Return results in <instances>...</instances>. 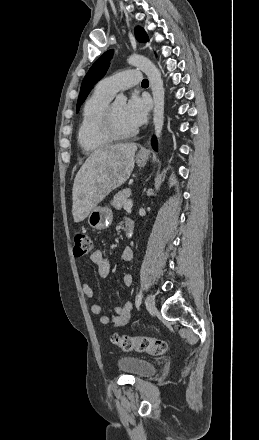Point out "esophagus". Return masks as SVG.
Returning a JSON list of instances; mask_svg holds the SVG:
<instances>
[{
  "mask_svg": "<svg viewBox=\"0 0 259 440\" xmlns=\"http://www.w3.org/2000/svg\"><path fill=\"white\" fill-rule=\"evenodd\" d=\"M148 151H147V148L146 147H144V148H142L141 150H140V153L141 154H146Z\"/></svg>",
  "mask_w": 259,
  "mask_h": 440,
  "instance_id": "obj_1",
  "label": "esophagus"
}]
</instances>
